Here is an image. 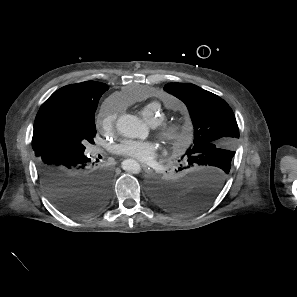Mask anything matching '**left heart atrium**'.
Returning a JSON list of instances; mask_svg holds the SVG:
<instances>
[{"instance_id":"1","label":"left heart atrium","mask_w":297,"mask_h":297,"mask_svg":"<svg viewBox=\"0 0 297 297\" xmlns=\"http://www.w3.org/2000/svg\"><path fill=\"white\" fill-rule=\"evenodd\" d=\"M158 144L151 140H123L116 147L118 154L131 157L143 163L153 161L158 152Z\"/></svg>"}]
</instances>
